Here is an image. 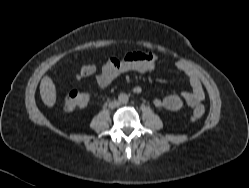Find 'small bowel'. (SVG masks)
<instances>
[{"instance_id": "small-bowel-1", "label": "small bowel", "mask_w": 249, "mask_h": 188, "mask_svg": "<svg viewBox=\"0 0 249 188\" xmlns=\"http://www.w3.org/2000/svg\"><path fill=\"white\" fill-rule=\"evenodd\" d=\"M157 62L156 55L144 52H129L121 60L110 58L100 69L96 78L97 85L100 89H105L115 78L126 72L150 73L156 69ZM176 67L186 75L191 90L182 94H170L163 98H156L153 101L156 107L172 112L180 110L184 105L195 107L204 99V90L195 71L183 62H178Z\"/></svg>"}]
</instances>
